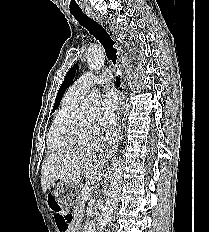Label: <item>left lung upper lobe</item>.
I'll use <instances>...</instances> for the list:
<instances>
[{"label":"left lung upper lobe","mask_w":209,"mask_h":232,"mask_svg":"<svg viewBox=\"0 0 209 232\" xmlns=\"http://www.w3.org/2000/svg\"><path fill=\"white\" fill-rule=\"evenodd\" d=\"M78 68V65L76 66H73L66 74L65 76V79L63 81V83L61 84L59 90H58V93H57V97H56V100H55V104H54V107H53V112L55 111V109L58 108L59 104H60V101L62 99V96L65 92V90L71 85L72 83V79L75 75V72H76V69Z\"/></svg>","instance_id":"left-lung-upper-lobe-1"}]
</instances>
